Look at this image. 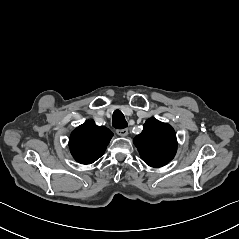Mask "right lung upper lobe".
I'll return each mask as SVG.
<instances>
[{
  "instance_id": "right-lung-upper-lobe-1",
  "label": "right lung upper lobe",
  "mask_w": 239,
  "mask_h": 239,
  "mask_svg": "<svg viewBox=\"0 0 239 239\" xmlns=\"http://www.w3.org/2000/svg\"><path fill=\"white\" fill-rule=\"evenodd\" d=\"M113 133L93 120L86 121L70 135L69 148L74 159L81 164H91L105 152Z\"/></svg>"
}]
</instances>
